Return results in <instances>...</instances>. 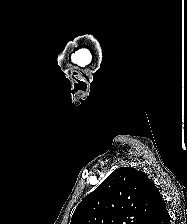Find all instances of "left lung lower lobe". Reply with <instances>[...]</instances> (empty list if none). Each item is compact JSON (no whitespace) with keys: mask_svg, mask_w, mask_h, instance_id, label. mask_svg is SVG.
Instances as JSON below:
<instances>
[{"mask_svg":"<svg viewBox=\"0 0 187 224\" xmlns=\"http://www.w3.org/2000/svg\"><path fill=\"white\" fill-rule=\"evenodd\" d=\"M149 224H170V217L166 209L164 200L162 201L157 214L154 216V218Z\"/></svg>","mask_w":187,"mask_h":224,"instance_id":"left-lung-lower-lobe-1","label":"left lung lower lobe"}]
</instances>
